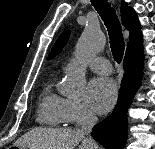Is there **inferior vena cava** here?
<instances>
[{
    "mask_svg": "<svg viewBox=\"0 0 155 149\" xmlns=\"http://www.w3.org/2000/svg\"><path fill=\"white\" fill-rule=\"evenodd\" d=\"M96 123L97 117L92 113H88L81 125V132L85 135V141L92 149H98L97 144L90 136L91 130Z\"/></svg>",
    "mask_w": 155,
    "mask_h": 149,
    "instance_id": "602c4592",
    "label": "inferior vena cava"
}]
</instances>
